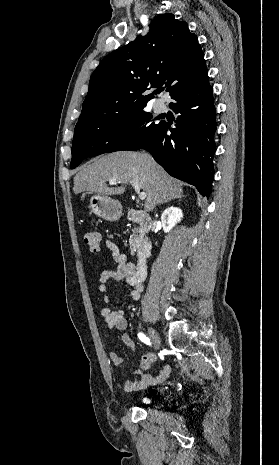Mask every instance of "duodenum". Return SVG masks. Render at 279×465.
Wrapping results in <instances>:
<instances>
[{
  "mask_svg": "<svg viewBox=\"0 0 279 465\" xmlns=\"http://www.w3.org/2000/svg\"><path fill=\"white\" fill-rule=\"evenodd\" d=\"M127 219L137 223L143 233H147L152 227V220L150 216L143 211H129L127 214ZM151 251L152 242L147 236H145L137 249L138 261L130 276L131 284H139L145 279L147 272V259L150 257Z\"/></svg>",
  "mask_w": 279,
  "mask_h": 465,
  "instance_id": "obj_1",
  "label": "duodenum"
}]
</instances>
